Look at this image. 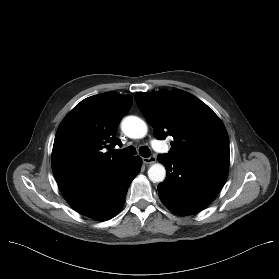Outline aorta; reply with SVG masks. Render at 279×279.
<instances>
[{
    "label": "aorta",
    "mask_w": 279,
    "mask_h": 279,
    "mask_svg": "<svg viewBox=\"0 0 279 279\" xmlns=\"http://www.w3.org/2000/svg\"><path fill=\"white\" fill-rule=\"evenodd\" d=\"M121 129L125 135L133 139L143 138L147 134V125L145 121L137 116H127L121 122ZM148 177L154 183L164 181L166 177L165 167L156 163L148 169Z\"/></svg>",
    "instance_id": "762f6f07"
}]
</instances>
